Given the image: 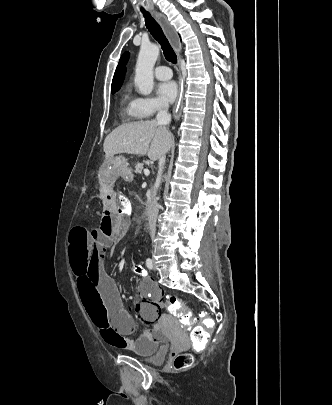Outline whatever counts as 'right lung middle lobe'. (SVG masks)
I'll list each match as a JSON object with an SVG mask.
<instances>
[{
  "label": "right lung middle lobe",
  "instance_id": "1",
  "mask_svg": "<svg viewBox=\"0 0 332 405\" xmlns=\"http://www.w3.org/2000/svg\"><path fill=\"white\" fill-rule=\"evenodd\" d=\"M120 86H121V84H119V85H117V86L112 87V88H111L112 93L117 92V91L120 89Z\"/></svg>",
  "mask_w": 332,
  "mask_h": 405
}]
</instances>
